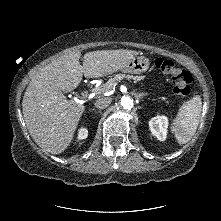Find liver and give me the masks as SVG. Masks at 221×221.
<instances>
[{
    "label": "liver",
    "mask_w": 221,
    "mask_h": 221,
    "mask_svg": "<svg viewBox=\"0 0 221 221\" xmlns=\"http://www.w3.org/2000/svg\"><path fill=\"white\" fill-rule=\"evenodd\" d=\"M137 51L118 49L80 51L66 54L43 67L30 81L23 96L22 110L27 129L37 145L56 155L73 140L85 107L67 100L63 92L75 90L83 75L98 78L121 70Z\"/></svg>",
    "instance_id": "1"
}]
</instances>
